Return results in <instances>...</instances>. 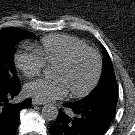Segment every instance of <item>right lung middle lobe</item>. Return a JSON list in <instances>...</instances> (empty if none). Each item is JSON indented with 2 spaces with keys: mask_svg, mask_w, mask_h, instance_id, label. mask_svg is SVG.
Returning a JSON list of instances; mask_svg holds the SVG:
<instances>
[{
  "mask_svg": "<svg viewBox=\"0 0 135 135\" xmlns=\"http://www.w3.org/2000/svg\"><path fill=\"white\" fill-rule=\"evenodd\" d=\"M34 35L18 28L0 31V89H10L19 84L13 59L15 45Z\"/></svg>",
  "mask_w": 135,
  "mask_h": 135,
  "instance_id": "1",
  "label": "right lung middle lobe"
}]
</instances>
